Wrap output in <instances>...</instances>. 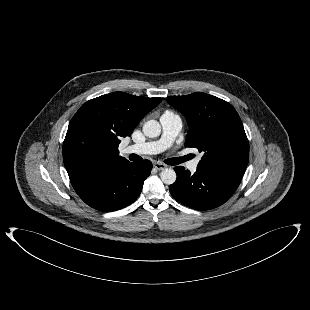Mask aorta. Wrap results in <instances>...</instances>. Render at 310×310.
<instances>
[{"mask_svg": "<svg viewBox=\"0 0 310 310\" xmlns=\"http://www.w3.org/2000/svg\"><path fill=\"white\" fill-rule=\"evenodd\" d=\"M143 133L149 138H156L161 133V125L156 120H149L143 125ZM161 180L167 185L176 181V172L171 168L164 169L160 174Z\"/></svg>", "mask_w": 310, "mask_h": 310, "instance_id": "762f6f07", "label": "aorta"}]
</instances>
